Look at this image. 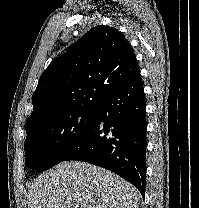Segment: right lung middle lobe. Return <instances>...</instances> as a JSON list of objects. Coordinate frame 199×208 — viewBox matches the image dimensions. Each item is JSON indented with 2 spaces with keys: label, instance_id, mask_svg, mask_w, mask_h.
Listing matches in <instances>:
<instances>
[{
  "label": "right lung middle lobe",
  "instance_id": "dd1d6c3e",
  "mask_svg": "<svg viewBox=\"0 0 199 208\" xmlns=\"http://www.w3.org/2000/svg\"><path fill=\"white\" fill-rule=\"evenodd\" d=\"M94 119V107L79 108L55 117L27 133L25 163L45 171L61 162L85 136Z\"/></svg>",
  "mask_w": 199,
  "mask_h": 208
}]
</instances>
